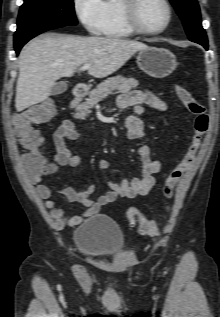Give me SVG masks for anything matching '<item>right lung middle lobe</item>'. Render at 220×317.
Listing matches in <instances>:
<instances>
[{
	"label": "right lung middle lobe",
	"mask_w": 220,
	"mask_h": 317,
	"mask_svg": "<svg viewBox=\"0 0 220 317\" xmlns=\"http://www.w3.org/2000/svg\"><path fill=\"white\" fill-rule=\"evenodd\" d=\"M73 0H24L14 39L49 25H76Z\"/></svg>",
	"instance_id": "obj_1"
}]
</instances>
